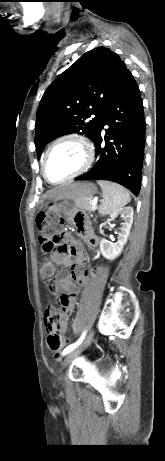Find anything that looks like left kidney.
<instances>
[{"mask_svg": "<svg viewBox=\"0 0 165 461\" xmlns=\"http://www.w3.org/2000/svg\"><path fill=\"white\" fill-rule=\"evenodd\" d=\"M118 215H121V217H123V220H124V222L121 223L122 227L120 228L118 241L113 244L103 239L100 242L101 253L108 260H113L116 257H118L121 254L123 247L128 240L130 229L133 223V208L131 206L120 208L116 210L115 212H113L110 215V217L113 220Z\"/></svg>", "mask_w": 165, "mask_h": 461, "instance_id": "left-kidney-1", "label": "left kidney"}]
</instances>
